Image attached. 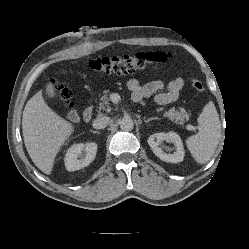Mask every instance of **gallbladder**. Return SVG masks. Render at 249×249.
Returning a JSON list of instances; mask_svg holds the SVG:
<instances>
[{"instance_id":"bac80fb5","label":"gallbladder","mask_w":249,"mask_h":249,"mask_svg":"<svg viewBox=\"0 0 249 249\" xmlns=\"http://www.w3.org/2000/svg\"><path fill=\"white\" fill-rule=\"evenodd\" d=\"M45 94H46L48 97H50V98L55 97V95H56L55 89H54V86H53L51 83H48V84H47L46 89H45ZM76 117H77V114H76L75 111H70V112L68 113V118H69L70 120H74V119H76Z\"/></svg>"}]
</instances>
